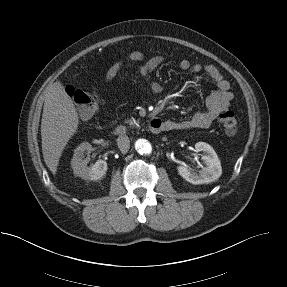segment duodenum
<instances>
[{"label":"duodenum","mask_w":287,"mask_h":287,"mask_svg":"<svg viewBox=\"0 0 287 287\" xmlns=\"http://www.w3.org/2000/svg\"><path fill=\"white\" fill-rule=\"evenodd\" d=\"M149 129L152 133L158 134L164 130V124L161 119L153 117L149 122ZM127 127L125 125H117L114 127L113 132L116 135H124L127 133Z\"/></svg>","instance_id":"410a0bca"}]
</instances>
